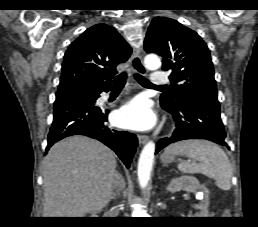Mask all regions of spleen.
Returning <instances> with one entry per match:
<instances>
[{
    "label": "spleen",
    "instance_id": "3e777b00",
    "mask_svg": "<svg viewBox=\"0 0 258 227\" xmlns=\"http://www.w3.org/2000/svg\"><path fill=\"white\" fill-rule=\"evenodd\" d=\"M166 154H181L197 162L178 164L181 172L201 173L215 180L221 190H230L232 166L226 153L216 144L198 139H189L170 144L165 149Z\"/></svg>",
    "mask_w": 258,
    "mask_h": 227
}]
</instances>
